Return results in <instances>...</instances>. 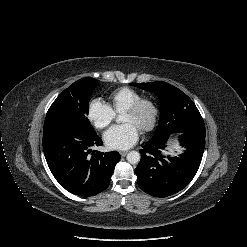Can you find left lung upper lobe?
<instances>
[{"label": "left lung upper lobe", "mask_w": 247, "mask_h": 247, "mask_svg": "<svg viewBox=\"0 0 247 247\" xmlns=\"http://www.w3.org/2000/svg\"><path fill=\"white\" fill-rule=\"evenodd\" d=\"M148 90L161 102L160 124L151 138L159 140L176 133H205L203 118L193 101L178 88L166 82L131 83Z\"/></svg>", "instance_id": "obj_1"}]
</instances>
